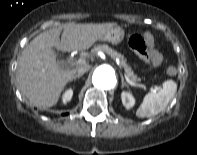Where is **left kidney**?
Returning <instances> with one entry per match:
<instances>
[{"label":"left kidney","mask_w":197,"mask_h":155,"mask_svg":"<svg viewBox=\"0 0 197 155\" xmlns=\"http://www.w3.org/2000/svg\"><path fill=\"white\" fill-rule=\"evenodd\" d=\"M121 99H122L123 105L127 109L132 108L134 106V104H135V99L132 96V94H130L129 92L123 91L121 93Z\"/></svg>","instance_id":"1"}]
</instances>
